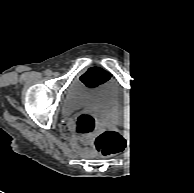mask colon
Here are the masks:
<instances>
[{"label": "colon", "instance_id": "obj_1", "mask_svg": "<svg viewBox=\"0 0 194 193\" xmlns=\"http://www.w3.org/2000/svg\"><path fill=\"white\" fill-rule=\"evenodd\" d=\"M84 125L86 127L87 122ZM95 143L102 153L109 154L120 151L125 145V139L117 132L108 131L98 136Z\"/></svg>", "mask_w": 194, "mask_h": 193}]
</instances>
